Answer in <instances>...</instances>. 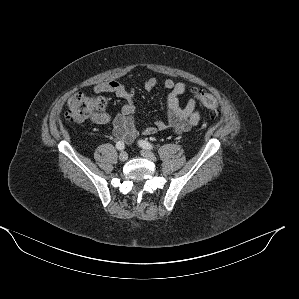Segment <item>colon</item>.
Returning a JSON list of instances; mask_svg holds the SVG:
<instances>
[{"label":"colon","mask_w":299,"mask_h":299,"mask_svg":"<svg viewBox=\"0 0 299 299\" xmlns=\"http://www.w3.org/2000/svg\"><path fill=\"white\" fill-rule=\"evenodd\" d=\"M197 100L206 107L212 116L219 115L217 99L209 92L200 90L196 93ZM105 97H91L81 93L72 95L67 103L66 117L74 123H81L95 117L106 105Z\"/></svg>","instance_id":"colon-1"}]
</instances>
